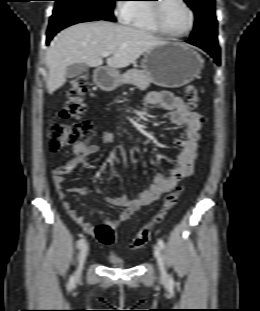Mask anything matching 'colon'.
Wrapping results in <instances>:
<instances>
[{
    "instance_id": "1",
    "label": "colon",
    "mask_w": 260,
    "mask_h": 311,
    "mask_svg": "<svg viewBox=\"0 0 260 311\" xmlns=\"http://www.w3.org/2000/svg\"><path fill=\"white\" fill-rule=\"evenodd\" d=\"M88 80L85 76L75 77L66 92V101L60 110L59 116L53 119L49 125L48 149L52 153L61 151L68 146H86L92 139V124L88 120L67 123L69 119H80L85 113L84 95L87 90ZM185 96L191 109L196 108L198 102V92L195 86L189 85L185 89ZM200 125L204 123V118H199ZM184 187L180 186L175 191L168 193L162 203V207L157 215L148 224H145L138 231L130 247L140 249L144 247L151 238L154 225L161 223L168 211L179 201ZM94 235L97 240L104 245H111L115 239L114 228L108 223H101L95 227Z\"/></svg>"
}]
</instances>
